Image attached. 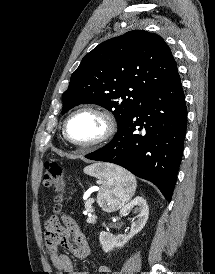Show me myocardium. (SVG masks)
I'll return each instance as SVG.
<instances>
[{
  "label": "myocardium",
  "mask_w": 215,
  "mask_h": 274,
  "mask_svg": "<svg viewBox=\"0 0 215 274\" xmlns=\"http://www.w3.org/2000/svg\"><path fill=\"white\" fill-rule=\"evenodd\" d=\"M83 112H89L92 113L96 116H98L104 124V131L103 133L96 139L90 141V142H86V143H79V142H75L73 141L69 135H68V124L70 122V120L77 114L79 113H83ZM117 131V122L114 118V116L107 110L100 108V107H96V106H91V105H87V106H82L79 107L77 109H75L74 111H72L64 120L63 123V136L65 138V140L78 148H83V149H90V148H95L98 146H101L102 144L108 142L110 139L113 138V136L116 134Z\"/></svg>",
  "instance_id": "f54148a6"
}]
</instances>
